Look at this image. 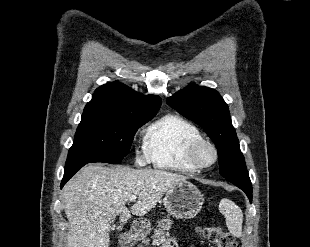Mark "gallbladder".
Masks as SVG:
<instances>
[{"instance_id": "bac80fb5", "label": "gallbladder", "mask_w": 310, "mask_h": 247, "mask_svg": "<svg viewBox=\"0 0 310 247\" xmlns=\"http://www.w3.org/2000/svg\"><path fill=\"white\" fill-rule=\"evenodd\" d=\"M111 230H115V228H114V227H112V228H111Z\"/></svg>"}]
</instances>
